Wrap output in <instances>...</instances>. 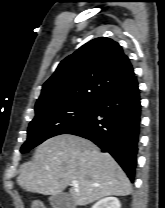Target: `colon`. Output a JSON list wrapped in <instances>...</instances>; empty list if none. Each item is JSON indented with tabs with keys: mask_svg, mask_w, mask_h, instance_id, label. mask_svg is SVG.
I'll use <instances>...</instances> for the list:
<instances>
[{
	"mask_svg": "<svg viewBox=\"0 0 165 208\" xmlns=\"http://www.w3.org/2000/svg\"><path fill=\"white\" fill-rule=\"evenodd\" d=\"M30 208H46V206L39 200H33Z\"/></svg>",
	"mask_w": 165,
	"mask_h": 208,
	"instance_id": "colon-1",
	"label": "colon"
}]
</instances>
